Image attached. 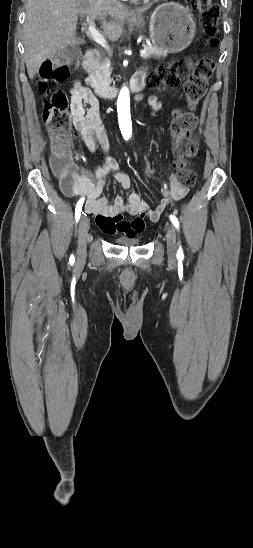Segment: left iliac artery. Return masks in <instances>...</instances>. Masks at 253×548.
<instances>
[{
  "label": "left iliac artery",
  "mask_w": 253,
  "mask_h": 548,
  "mask_svg": "<svg viewBox=\"0 0 253 548\" xmlns=\"http://www.w3.org/2000/svg\"><path fill=\"white\" fill-rule=\"evenodd\" d=\"M169 218H170L171 222L173 223V225L175 226V228L178 230L179 229L178 219L174 215H170ZM183 257H184V254H183L182 248L179 247V249L177 251V258L182 259Z\"/></svg>",
  "instance_id": "left-iliac-artery-1"
}]
</instances>
